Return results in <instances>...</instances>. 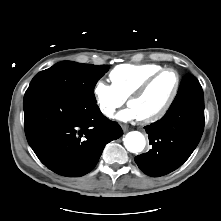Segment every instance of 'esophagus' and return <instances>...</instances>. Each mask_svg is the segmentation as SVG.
<instances>
[{
    "mask_svg": "<svg viewBox=\"0 0 221 221\" xmlns=\"http://www.w3.org/2000/svg\"><path fill=\"white\" fill-rule=\"evenodd\" d=\"M122 129L124 132H127L128 131V126L127 125H122Z\"/></svg>",
    "mask_w": 221,
    "mask_h": 221,
    "instance_id": "1",
    "label": "esophagus"
}]
</instances>
